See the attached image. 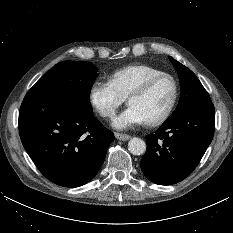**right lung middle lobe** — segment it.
Returning <instances> with one entry per match:
<instances>
[{
  "instance_id": "obj_1",
  "label": "right lung middle lobe",
  "mask_w": 233,
  "mask_h": 233,
  "mask_svg": "<svg viewBox=\"0 0 233 233\" xmlns=\"http://www.w3.org/2000/svg\"><path fill=\"white\" fill-rule=\"evenodd\" d=\"M97 71V67L90 62L63 61L43 75L28 93L65 96L92 114L90 91L98 76Z\"/></svg>"
}]
</instances>
